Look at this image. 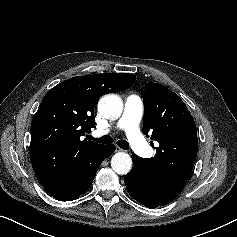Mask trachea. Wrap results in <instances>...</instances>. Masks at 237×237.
<instances>
[{
	"instance_id": "1",
	"label": "trachea",
	"mask_w": 237,
	"mask_h": 237,
	"mask_svg": "<svg viewBox=\"0 0 237 237\" xmlns=\"http://www.w3.org/2000/svg\"><path fill=\"white\" fill-rule=\"evenodd\" d=\"M90 139L93 140V141H96L98 143H103V144H110V143L113 142L112 137L109 136V135H105V136H102L100 138H94V137L91 136ZM117 145L120 148L124 149V150H128L129 149V144H128V142L126 140H118L117 141Z\"/></svg>"
}]
</instances>
